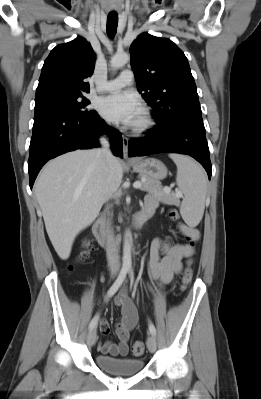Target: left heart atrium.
Here are the masks:
<instances>
[{
    "mask_svg": "<svg viewBox=\"0 0 261 399\" xmlns=\"http://www.w3.org/2000/svg\"><path fill=\"white\" fill-rule=\"evenodd\" d=\"M102 116L117 123L134 125L141 118L142 108L134 94L114 92L98 102Z\"/></svg>",
    "mask_w": 261,
    "mask_h": 399,
    "instance_id": "39dd6f15",
    "label": "left heart atrium"
}]
</instances>
